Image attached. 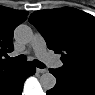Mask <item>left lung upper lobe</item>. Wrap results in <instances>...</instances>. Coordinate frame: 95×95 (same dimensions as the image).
I'll list each match as a JSON object with an SVG mask.
<instances>
[{
	"instance_id": "5c2ea615",
	"label": "left lung upper lobe",
	"mask_w": 95,
	"mask_h": 95,
	"mask_svg": "<svg viewBox=\"0 0 95 95\" xmlns=\"http://www.w3.org/2000/svg\"><path fill=\"white\" fill-rule=\"evenodd\" d=\"M29 22L43 35L49 49L61 53L59 69L95 78V18L75 8L40 10Z\"/></svg>"
}]
</instances>
